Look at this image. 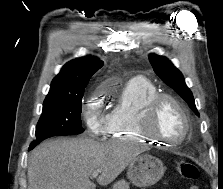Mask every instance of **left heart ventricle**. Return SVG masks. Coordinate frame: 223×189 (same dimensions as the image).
Segmentation results:
<instances>
[{"label": "left heart ventricle", "mask_w": 223, "mask_h": 189, "mask_svg": "<svg viewBox=\"0 0 223 189\" xmlns=\"http://www.w3.org/2000/svg\"><path fill=\"white\" fill-rule=\"evenodd\" d=\"M185 122L179 109L170 101H164L156 114L154 130L161 137L176 141L184 134Z\"/></svg>", "instance_id": "obj_1"}]
</instances>
